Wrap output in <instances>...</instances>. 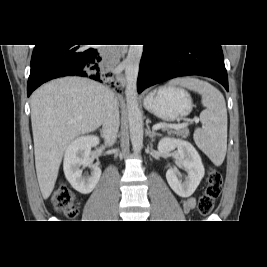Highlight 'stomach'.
<instances>
[{"label":"stomach","instance_id":"0dacf381","mask_svg":"<svg viewBox=\"0 0 267 267\" xmlns=\"http://www.w3.org/2000/svg\"><path fill=\"white\" fill-rule=\"evenodd\" d=\"M143 104L147 111L164 121L186 117L193 107L189 93L174 86L162 87L149 93Z\"/></svg>","mask_w":267,"mask_h":267}]
</instances>
